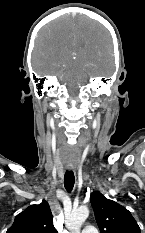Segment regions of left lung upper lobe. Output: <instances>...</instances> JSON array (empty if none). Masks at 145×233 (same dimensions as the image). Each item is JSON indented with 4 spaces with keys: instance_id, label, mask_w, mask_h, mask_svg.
<instances>
[{
    "instance_id": "5c2ea615",
    "label": "left lung upper lobe",
    "mask_w": 145,
    "mask_h": 233,
    "mask_svg": "<svg viewBox=\"0 0 145 233\" xmlns=\"http://www.w3.org/2000/svg\"><path fill=\"white\" fill-rule=\"evenodd\" d=\"M90 201L101 233H141L137 222L125 207L98 191L91 194Z\"/></svg>"
}]
</instances>
